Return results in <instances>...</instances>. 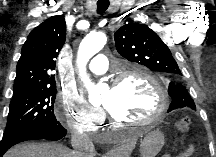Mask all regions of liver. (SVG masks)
Segmentation results:
<instances>
[{
    "label": "liver",
    "instance_id": "liver-1",
    "mask_svg": "<svg viewBox=\"0 0 216 157\" xmlns=\"http://www.w3.org/2000/svg\"><path fill=\"white\" fill-rule=\"evenodd\" d=\"M137 138L128 139L127 143L111 150L106 157H127L135 148ZM94 152L92 153V157ZM4 157H74L73 151L59 143L28 142L14 146Z\"/></svg>",
    "mask_w": 216,
    "mask_h": 157
}]
</instances>
